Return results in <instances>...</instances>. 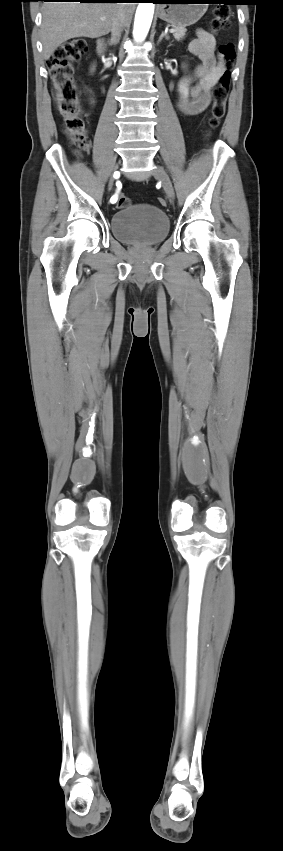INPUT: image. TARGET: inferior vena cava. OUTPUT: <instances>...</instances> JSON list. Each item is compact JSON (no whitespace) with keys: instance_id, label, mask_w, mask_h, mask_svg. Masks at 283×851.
<instances>
[{"instance_id":"obj_1","label":"inferior vena cava","mask_w":283,"mask_h":851,"mask_svg":"<svg viewBox=\"0 0 283 851\" xmlns=\"http://www.w3.org/2000/svg\"><path fill=\"white\" fill-rule=\"evenodd\" d=\"M124 26H125V14H124V12L121 11L118 14L116 20L114 21V23L112 25V29H111V35H112L111 41H112L113 44H117L119 42Z\"/></svg>"}]
</instances>
